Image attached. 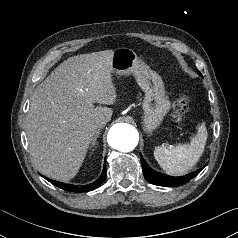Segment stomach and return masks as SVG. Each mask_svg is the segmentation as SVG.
<instances>
[{
  "instance_id": "1",
  "label": "stomach",
  "mask_w": 238,
  "mask_h": 238,
  "mask_svg": "<svg viewBox=\"0 0 238 238\" xmlns=\"http://www.w3.org/2000/svg\"><path fill=\"white\" fill-rule=\"evenodd\" d=\"M112 69L118 77L130 74L135 76L138 85L145 93L142 103L143 127L148 132L159 128L171 108L170 101L165 95L162 78L147 67L133 50L125 47L114 51Z\"/></svg>"
}]
</instances>
